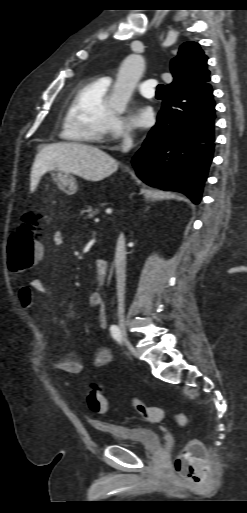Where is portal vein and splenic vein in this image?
Instances as JSON below:
<instances>
[{
    "instance_id": "obj_1",
    "label": "portal vein and splenic vein",
    "mask_w": 247,
    "mask_h": 513,
    "mask_svg": "<svg viewBox=\"0 0 247 513\" xmlns=\"http://www.w3.org/2000/svg\"><path fill=\"white\" fill-rule=\"evenodd\" d=\"M98 221H99V219H98V218H95V222H98Z\"/></svg>"
}]
</instances>
